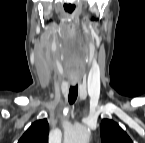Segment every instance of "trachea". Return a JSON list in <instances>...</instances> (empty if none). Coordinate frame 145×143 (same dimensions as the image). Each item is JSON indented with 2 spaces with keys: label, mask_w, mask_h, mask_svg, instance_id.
Here are the masks:
<instances>
[{
  "label": "trachea",
  "mask_w": 145,
  "mask_h": 143,
  "mask_svg": "<svg viewBox=\"0 0 145 143\" xmlns=\"http://www.w3.org/2000/svg\"><path fill=\"white\" fill-rule=\"evenodd\" d=\"M78 96V86H71L69 89V96H68V101L70 104H73Z\"/></svg>",
  "instance_id": "obj_1"
}]
</instances>
